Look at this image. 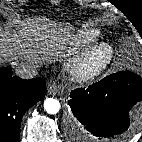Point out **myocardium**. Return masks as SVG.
<instances>
[{"label": "myocardium", "mask_w": 142, "mask_h": 142, "mask_svg": "<svg viewBox=\"0 0 142 142\" xmlns=\"http://www.w3.org/2000/svg\"><path fill=\"white\" fill-rule=\"evenodd\" d=\"M113 58L114 50L110 44H98L75 57L68 65V72L78 82H89L102 75Z\"/></svg>", "instance_id": "obj_1"}]
</instances>
